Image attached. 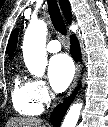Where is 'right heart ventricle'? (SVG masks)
<instances>
[{"mask_svg": "<svg viewBox=\"0 0 108 127\" xmlns=\"http://www.w3.org/2000/svg\"><path fill=\"white\" fill-rule=\"evenodd\" d=\"M14 109L21 115L35 116L41 113L42 104L36 99L32 82L15 75L11 91Z\"/></svg>", "mask_w": 108, "mask_h": 127, "instance_id": "right-heart-ventricle-1", "label": "right heart ventricle"}]
</instances>
